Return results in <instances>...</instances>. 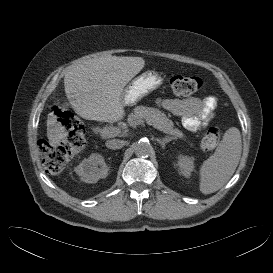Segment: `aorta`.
Returning <instances> with one entry per match:
<instances>
[{
  "mask_svg": "<svg viewBox=\"0 0 273 273\" xmlns=\"http://www.w3.org/2000/svg\"><path fill=\"white\" fill-rule=\"evenodd\" d=\"M151 144L146 140H140L135 144L134 150L138 157H148L152 152Z\"/></svg>",
  "mask_w": 273,
  "mask_h": 273,
  "instance_id": "762f6f07",
  "label": "aorta"
}]
</instances>
